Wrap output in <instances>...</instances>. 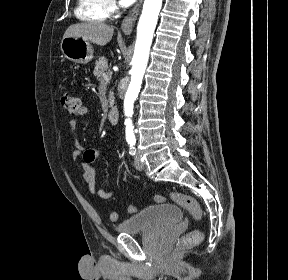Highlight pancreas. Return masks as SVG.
Masks as SVG:
<instances>
[{
  "label": "pancreas",
  "instance_id": "pancreas-1",
  "mask_svg": "<svg viewBox=\"0 0 288 280\" xmlns=\"http://www.w3.org/2000/svg\"><path fill=\"white\" fill-rule=\"evenodd\" d=\"M108 69V61L105 57H100L99 60L95 62V68H94V76L98 81L105 82L104 80V73ZM114 103V93L110 91L109 93V106L113 105Z\"/></svg>",
  "mask_w": 288,
  "mask_h": 280
}]
</instances>
